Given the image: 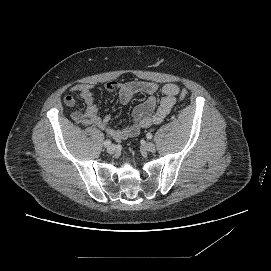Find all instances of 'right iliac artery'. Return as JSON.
<instances>
[{
  "instance_id": "obj_1",
  "label": "right iliac artery",
  "mask_w": 271,
  "mask_h": 271,
  "mask_svg": "<svg viewBox=\"0 0 271 271\" xmlns=\"http://www.w3.org/2000/svg\"><path fill=\"white\" fill-rule=\"evenodd\" d=\"M111 145V140H106L105 142H104V146L105 147H109Z\"/></svg>"
}]
</instances>
